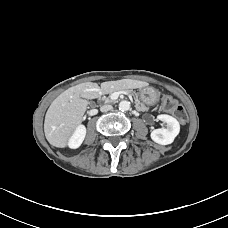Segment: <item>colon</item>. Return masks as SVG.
<instances>
[{
  "instance_id": "5ec220e1",
  "label": "colon",
  "mask_w": 228,
  "mask_h": 228,
  "mask_svg": "<svg viewBox=\"0 0 228 228\" xmlns=\"http://www.w3.org/2000/svg\"><path fill=\"white\" fill-rule=\"evenodd\" d=\"M162 107L164 111L172 114L179 122H185L187 119V113L181 104L170 95H163Z\"/></svg>"
}]
</instances>
